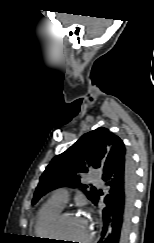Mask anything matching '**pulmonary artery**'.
I'll return each mask as SVG.
<instances>
[{"label":"pulmonary artery","instance_id":"obj_1","mask_svg":"<svg viewBox=\"0 0 154 243\" xmlns=\"http://www.w3.org/2000/svg\"><path fill=\"white\" fill-rule=\"evenodd\" d=\"M93 179L97 182L98 185H103V181L100 178L94 176ZM50 200L62 207H65L69 200L68 190L66 188H58L54 190L51 194Z\"/></svg>","mask_w":154,"mask_h":243}]
</instances>
